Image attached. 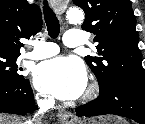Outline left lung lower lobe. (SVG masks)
Returning a JSON list of instances; mask_svg holds the SVG:
<instances>
[{
	"label": "left lung lower lobe",
	"mask_w": 145,
	"mask_h": 124,
	"mask_svg": "<svg viewBox=\"0 0 145 124\" xmlns=\"http://www.w3.org/2000/svg\"><path fill=\"white\" fill-rule=\"evenodd\" d=\"M115 114L145 124V86L120 82L92 102L76 108L77 116Z\"/></svg>",
	"instance_id": "left-lung-lower-lobe-1"
}]
</instances>
